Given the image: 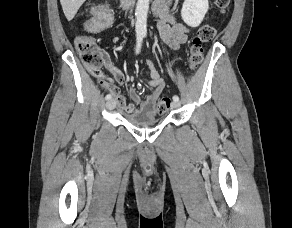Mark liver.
Wrapping results in <instances>:
<instances>
[{"label":"liver","instance_id":"1","mask_svg":"<svg viewBox=\"0 0 292 228\" xmlns=\"http://www.w3.org/2000/svg\"><path fill=\"white\" fill-rule=\"evenodd\" d=\"M86 0H60L63 12L68 21L76 15L78 9Z\"/></svg>","mask_w":292,"mask_h":228}]
</instances>
